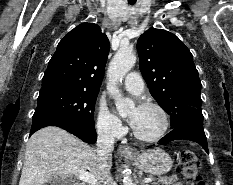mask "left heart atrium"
<instances>
[{"label":"left heart atrium","instance_id":"1","mask_svg":"<svg viewBox=\"0 0 233 185\" xmlns=\"http://www.w3.org/2000/svg\"><path fill=\"white\" fill-rule=\"evenodd\" d=\"M131 126L133 127L134 124H135V118L134 117H130V120H129Z\"/></svg>","mask_w":233,"mask_h":185}]
</instances>
